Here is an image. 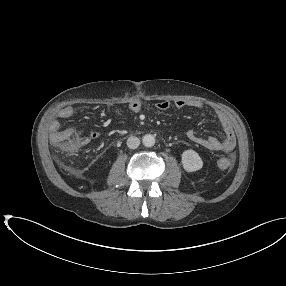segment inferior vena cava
<instances>
[{
    "mask_svg": "<svg viewBox=\"0 0 286 286\" xmlns=\"http://www.w3.org/2000/svg\"><path fill=\"white\" fill-rule=\"evenodd\" d=\"M140 145V140L136 136H131L127 140V146L130 149H136Z\"/></svg>",
    "mask_w": 286,
    "mask_h": 286,
    "instance_id": "602c4592",
    "label": "inferior vena cava"
}]
</instances>
